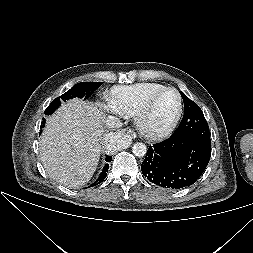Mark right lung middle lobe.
<instances>
[{
    "label": "right lung middle lobe",
    "instance_id": "1",
    "mask_svg": "<svg viewBox=\"0 0 253 253\" xmlns=\"http://www.w3.org/2000/svg\"><path fill=\"white\" fill-rule=\"evenodd\" d=\"M103 82H81L74 85L70 90L66 93L61 95L60 97L56 98L45 110L46 115H51L60 105L61 102L64 100L72 99L74 97L85 98L88 99L92 93L99 88ZM45 124V119H43L42 127Z\"/></svg>",
    "mask_w": 253,
    "mask_h": 253
}]
</instances>
